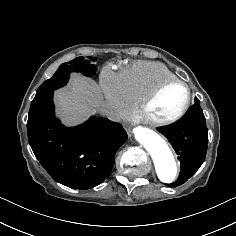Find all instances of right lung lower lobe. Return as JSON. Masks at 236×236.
Returning a JSON list of instances; mask_svg holds the SVG:
<instances>
[{
  "label": "right lung lower lobe",
  "mask_w": 236,
  "mask_h": 236,
  "mask_svg": "<svg viewBox=\"0 0 236 236\" xmlns=\"http://www.w3.org/2000/svg\"><path fill=\"white\" fill-rule=\"evenodd\" d=\"M27 132L36 158L50 176L75 189L104 181L127 139L123 127L107 118L91 117L81 126L65 127L54 116L53 92L32 101Z\"/></svg>",
  "instance_id": "right-lung-lower-lobe-1"
}]
</instances>
